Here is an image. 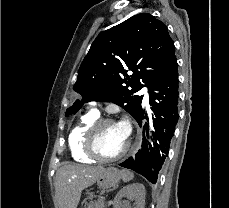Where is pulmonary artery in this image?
<instances>
[{"label":"pulmonary artery","mask_w":229,"mask_h":208,"mask_svg":"<svg viewBox=\"0 0 229 208\" xmlns=\"http://www.w3.org/2000/svg\"><path fill=\"white\" fill-rule=\"evenodd\" d=\"M144 95H145V103H147V88H143L142 91H141ZM100 104L96 103V102H92L90 104V110L96 112V113H99V108H100Z\"/></svg>","instance_id":"pulmonary-artery-1"}]
</instances>
